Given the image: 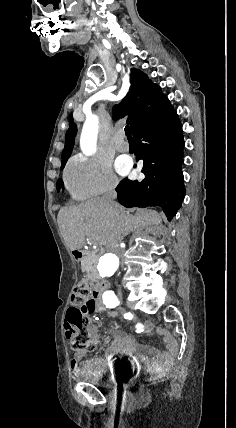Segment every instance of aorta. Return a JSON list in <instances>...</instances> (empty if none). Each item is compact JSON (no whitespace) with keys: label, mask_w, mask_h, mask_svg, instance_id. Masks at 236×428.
<instances>
[{"label":"aorta","mask_w":236,"mask_h":428,"mask_svg":"<svg viewBox=\"0 0 236 428\" xmlns=\"http://www.w3.org/2000/svg\"><path fill=\"white\" fill-rule=\"evenodd\" d=\"M98 135V118L95 115L87 117L81 133L80 144L84 153L92 154L96 149ZM119 267L118 258L112 253H106L100 257L97 270L102 278L112 277Z\"/></svg>","instance_id":"762f6f07"}]
</instances>
